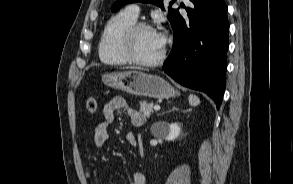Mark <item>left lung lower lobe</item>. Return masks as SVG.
I'll list each match as a JSON object with an SVG mask.
<instances>
[{
  "instance_id": "0a47b994",
  "label": "left lung lower lobe",
  "mask_w": 293,
  "mask_h": 184,
  "mask_svg": "<svg viewBox=\"0 0 293 184\" xmlns=\"http://www.w3.org/2000/svg\"><path fill=\"white\" fill-rule=\"evenodd\" d=\"M187 14L174 10L173 48L163 70L181 85L205 92L217 108L223 99L229 23L224 0H189Z\"/></svg>"
}]
</instances>
